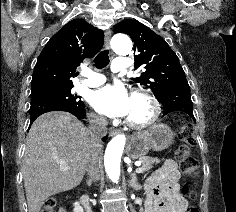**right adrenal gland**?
I'll return each instance as SVG.
<instances>
[{
    "label": "right adrenal gland",
    "mask_w": 236,
    "mask_h": 212,
    "mask_svg": "<svg viewBox=\"0 0 236 212\" xmlns=\"http://www.w3.org/2000/svg\"><path fill=\"white\" fill-rule=\"evenodd\" d=\"M87 185L90 186L91 185V181L87 180Z\"/></svg>",
    "instance_id": "right-adrenal-gland-1"
}]
</instances>
